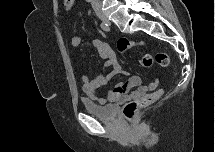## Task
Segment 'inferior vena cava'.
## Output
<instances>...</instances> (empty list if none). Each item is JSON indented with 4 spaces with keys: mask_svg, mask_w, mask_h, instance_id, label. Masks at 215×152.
<instances>
[{
    "mask_svg": "<svg viewBox=\"0 0 215 152\" xmlns=\"http://www.w3.org/2000/svg\"><path fill=\"white\" fill-rule=\"evenodd\" d=\"M99 0H92L93 4H98Z\"/></svg>",
    "mask_w": 215,
    "mask_h": 152,
    "instance_id": "1",
    "label": "inferior vena cava"
}]
</instances>
